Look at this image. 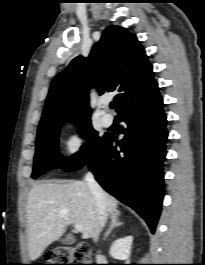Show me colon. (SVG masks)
<instances>
[{
  "mask_svg": "<svg viewBox=\"0 0 205 265\" xmlns=\"http://www.w3.org/2000/svg\"><path fill=\"white\" fill-rule=\"evenodd\" d=\"M44 265H91L90 249L86 244L59 246L46 255Z\"/></svg>",
  "mask_w": 205,
  "mask_h": 265,
  "instance_id": "obj_1",
  "label": "colon"
}]
</instances>
